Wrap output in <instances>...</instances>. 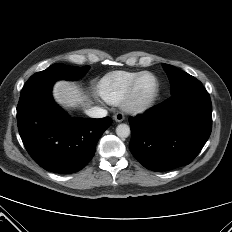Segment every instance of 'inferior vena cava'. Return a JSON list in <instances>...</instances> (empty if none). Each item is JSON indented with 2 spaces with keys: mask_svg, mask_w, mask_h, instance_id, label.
<instances>
[{
  "mask_svg": "<svg viewBox=\"0 0 232 232\" xmlns=\"http://www.w3.org/2000/svg\"><path fill=\"white\" fill-rule=\"evenodd\" d=\"M85 112L91 118H103L107 116V110L96 106L87 109Z\"/></svg>",
  "mask_w": 232,
  "mask_h": 232,
  "instance_id": "obj_1",
  "label": "inferior vena cava"
}]
</instances>
